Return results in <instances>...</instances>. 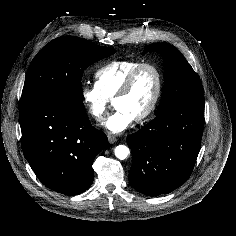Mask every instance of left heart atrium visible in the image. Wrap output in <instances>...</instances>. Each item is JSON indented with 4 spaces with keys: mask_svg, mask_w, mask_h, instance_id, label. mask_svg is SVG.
I'll return each mask as SVG.
<instances>
[{
    "mask_svg": "<svg viewBox=\"0 0 236 236\" xmlns=\"http://www.w3.org/2000/svg\"><path fill=\"white\" fill-rule=\"evenodd\" d=\"M133 121V116L127 111L121 108H116L104 125L111 133L118 134L129 128Z\"/></svg>",
    "mask_w": 236,
    "mask_h": 236,
    "instance_id": "1",
    "label": "left heart atrium"
}]
</instances>
